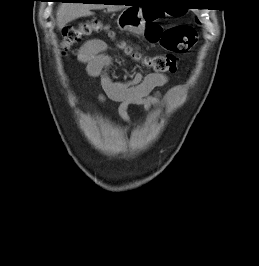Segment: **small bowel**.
<instances>
[{
    "label": "small bowel",
    "mask_w": 259,
    "mask_h": 266,
    "mask_svg": "<svg viewBox=\"0 0 259 266\" xmlns=\"http://www.w3.org/2000/svg\"><path fill=\"white\" fill-rule=\"evenodd\" d=\"M107 45L100 39L86 42L79 54V60L85 64L88 74L92 77H100L104 94L98 99L105 102L106 99L117 102L120 118L129 125L133 122L128 109L131 105L142 106L145 110H151L157 106H164L177 97L183 87L181 85L171 88L165 94L157 91L158 87L168 82V77L160 73L143 75L136 73L125 81H115L110 75L113 64L112 57L106 53Z\"/></svg>",
    "instance_id": "1"
}]
</instances>
